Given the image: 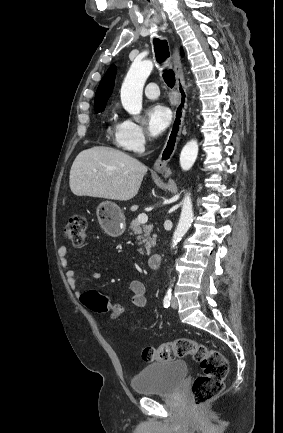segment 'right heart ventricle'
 Returning <instances> with one entry per match:
<instances>
[{
	"mask_svg": "<svg viewBox=\"0 0 283 433\" xmlns=\"http://www.w3.org/2000/svg\"><path fill=\"white\" fill-rule=\"evenodd\" d=\"M112 121H113V116H111L109 119V125H108L109 130L112 128Z\"/></svg>",
	"mask_w": 283,
	"mask_h": 433,
	"instance_id": "e07e8e85",
	"label": "right heart ventricle"
}]
</instances>
